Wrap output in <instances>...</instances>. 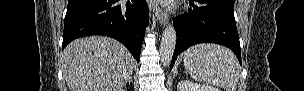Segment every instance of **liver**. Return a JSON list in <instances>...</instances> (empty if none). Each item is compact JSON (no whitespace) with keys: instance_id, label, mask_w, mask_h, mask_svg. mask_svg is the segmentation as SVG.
I'll list each match as a JSON object with an SVG mask.
<instances>
[{"instance_id":"1","label":"liver","mask_w":304,"mask_h":91,"mask_svg":"<svg viewBox=\"0 0 304 91\" xmlns=\"http://www.w3.org/2000/svg\"><path fill=\"white\" fill-rule=\"evenodd\" d=\"M62 64L70 91H119L131 79L135 60L120 42L89 36L64 49Z\"/></svg>"}]
</instances>
